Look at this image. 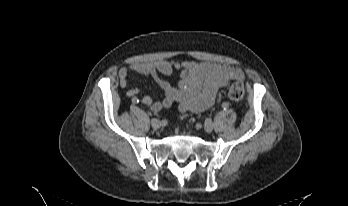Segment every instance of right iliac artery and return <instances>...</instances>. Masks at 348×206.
<instances>
[{
	"label": "right iliac artery",
	"mask_w": 348,
	"mask_h": 206,
	"mask_svg": "<svg viewBox=\"0 0 348 206\" xmlns=\"http://www.w3.org/2000/svg\"><path fill=\"white\" fill-rule=\"evenodd\" d=\"M139 103L138 97H133V104L137 105Z\"/></svg>",
	"instance_id": "obj_1"
}]
</instances>
